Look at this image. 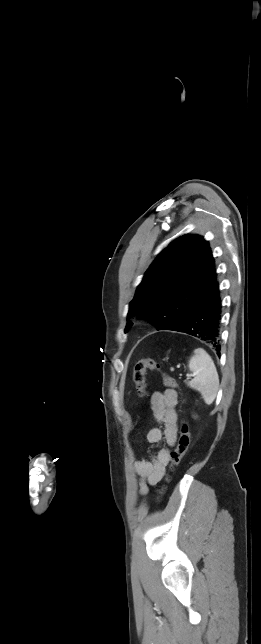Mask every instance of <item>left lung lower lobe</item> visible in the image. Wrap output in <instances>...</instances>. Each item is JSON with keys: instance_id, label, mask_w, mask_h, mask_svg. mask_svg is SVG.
<instances>
[{"instance_id": "0a47b994", "label": "left lung lower lobe", "mask_w": 261, "mask_h": 644, "mask_svg": "<svg viewBox=\"0 0 261 644\" xmlns=\"http://www.w3.org/2000/svg\"><path fill=\"white\" fill-rule=\"evenodd\" d=\"M222 300L219 282L216 280L210 290L201 297L188 312L166 330L178 331L195 336L212 345L220 354V325Z\"/></svg>"}]
</instances>
